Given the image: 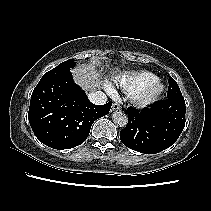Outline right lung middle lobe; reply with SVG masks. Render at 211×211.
<instances>
[{"instance_id":"obj_1","label":"right lung middle lobe","mask_w":211,"mask_h":211,"mask_svg":"<svg viewBox=\"0 0 211 211\" xmlns=\"http://www.w3.org/2000/svg\"><path fill=\"white\" fill-rule=\"evenodd\" d=\"M74 66H75L74 60H72V59L67 60V61L59 64L54 69L45 73L44 76L41 78V80H45L48 78H52V77H56V76L68 73V72H70V69L73 68Z\"/></svg>"}]
</instances>
